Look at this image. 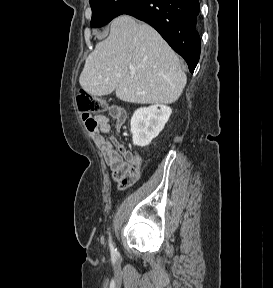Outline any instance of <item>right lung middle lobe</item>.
Returning <instances> with one entry per match:
<instances>
[{"label": "right lung middle lobe", "mask_w": 273, "mask_h": 288, "mask_svg": "<svg viewBox=\"0 0 273 288\" xmlns=\"http://www.w3.org/2000/svg\"><path fill=\"white\" fill-rule=\"evenodd\" d=\"M136 0H90L92 27H101L124 13Z\"/></svg>", "instance_id": "1"}]
</instances>
